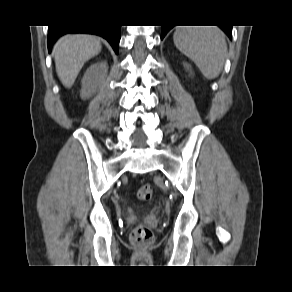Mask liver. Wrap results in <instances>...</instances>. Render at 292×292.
Listing matches in <instances>:
<instances>
[{
	"label": "liver",
	"instance_id": "6515ba94",
	"mask_svg": "<svg viewBox=\"0 0 292 292\" xmlns=\"http://www.w3.org/2000/svg\"><path fill=\"white\" fill-rule=\"evenodd\" d=\"M100 51L101 43L95 36L72 34L61 37L54 46V59L62 84L70 88L84 63Z\"/></svg>",
	"mask_w": 292,
	"mask_h": 292
}]
</instances>
